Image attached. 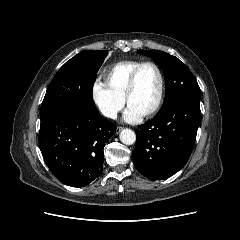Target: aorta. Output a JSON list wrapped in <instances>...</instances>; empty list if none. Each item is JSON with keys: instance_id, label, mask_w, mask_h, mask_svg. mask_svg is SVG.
I'll return each mask as SVG.
<instances>
[{"instance_id": "aorta-1", "label": "aorta", "mask_w": 240, "mask_h": 240, "mask_svg": "<svg viewBox=\"0 0 240 240\" xmlns=\"http://www.w3.org/2000/svg\"><path fill=\"white\" fill-rule=\"evenodd\" d=\"M120 141L125 145H132L135 143L136 135L131 129H123L119 135Z\"/></svg>"}]
</instances>
